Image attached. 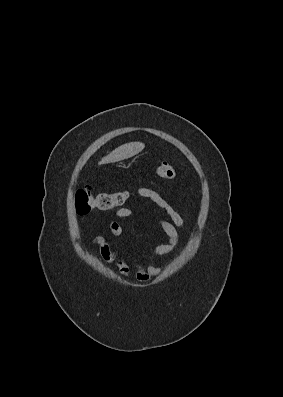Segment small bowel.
<instances>
[{
  "instance_id": "1",
  "label": "small bowel",
  "mask_w": 283,
  "mask_h": 397,
  "mask_svg": "<svg viewBox=\"0 0 283 397\" xmlns=\"http://www.w3.org/2000/svg\"><path fill=\"white\" fill-rule=\"evenodd\" d=\"M137 195L152 201L156 206L162 209L168 217V219L153 218V221L161 228L168 238L166 243L157 244L153 247V256H164L171 253L178 243V228L184 225V218L153 189L145 187L138 188ZM115 216L117 218L132 219L140 217V214L130 208L122 207L115 211ZM108 228L110 233L116 237H122L124 235L123 226L116 220L110 221ZM94 243L98 246L100 255L105 262L114 263L122 276L128 277L131 275V267L128 262L119 251L114 250L110 246L103 236H96L94 238ZM161 271L162 268L152 261L146 264L137 262L135 263L134 277L140 282H148L153 277L158 276Z\"/></svg>"
}]
</instances>
